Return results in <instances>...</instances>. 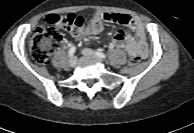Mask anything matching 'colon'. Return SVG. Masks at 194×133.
<instances>
[{"label":"colon","mask_w":194,"mask_h":133,"mask_svg":"<svg viewBox=\"0 0 194 133\" xmlns=\"http://www.w3.org/2000/svg\"><path fill=\"white\" fill-rule=\"evenodd\" d=\"M84 27V19L76 14H51L47 16L45 25L38 27L30 37L29 48L33 60L37 64L45 65L50 61L52 52L62 40V32L78 34ZM138 56L129 59V64L135 65Z\"/></svg>","instance_id":"1"}]
</instances>
